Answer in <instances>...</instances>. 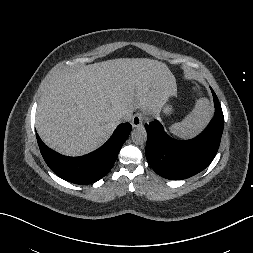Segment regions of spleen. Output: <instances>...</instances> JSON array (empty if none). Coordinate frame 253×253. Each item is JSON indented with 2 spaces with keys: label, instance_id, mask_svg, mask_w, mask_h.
I'll list each match as a JSON object with an SVG mask.
<instances>
[{
  "label": "spleen",
  "instance_id": "3e777b00",
  "mask_svg": "<svg viewBox=\"0 0 253 253\" xmlns=\"http://www.w3.org/2000/svg\"><path fill=\"white\" fill-rule=\"evenodd\" d=\"M212 112L209 100L201 98L181 122L175 123L169 128L170 133L181 139L193 138L209 123Z\"/></svg>",
  "mask_w": 253,
  "mask_h": 253
}]
</instances>
